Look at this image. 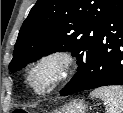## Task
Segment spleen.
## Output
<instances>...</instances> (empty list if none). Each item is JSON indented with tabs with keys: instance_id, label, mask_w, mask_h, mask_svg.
Listing matches in <instances>:
<instances>
[{
	"instance_id": "1",
	"label": "spleen",
	"mask_w": 123,
	"mask_h": 113,
	"mask_svg": "<svg viewBox=\"0 0 123 113\" xmlns=\"http://www.w3.org/2000/svg\"><path fill=\"white\" fill-rule=\"evenodd\" d=\"M91 96L104 101L106 113H123L122 86L101 87L92 91Z\"/></svg>"
}]
</instances>
